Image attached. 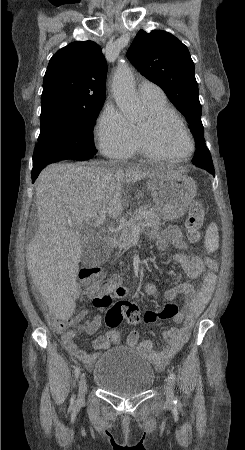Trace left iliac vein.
<instances>
[{"label":"left iliac vein","instance_id":"4c4485c4","mask_svg":"<svg viewBox=\"0 0 245 450\" xmlns=\"http://www.w3.org/2000/svg\"><path fill=\"white\" fill-rule=\"evenodd\" d=\"M165 391H166L167 402L172 403L173 399H174V393H173V385L169 378L167 379V382L165 385Z\"/></svg>","mask_w":245,"mask_h":450}]
</instances>
